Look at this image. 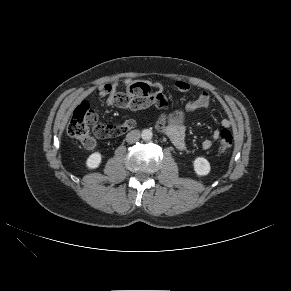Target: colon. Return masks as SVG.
Instances as JSON below:
<instances>
[{"instance_id":"obj_1","label":"colon","mask_w":291,"mask_h":291,"mask_svg":"<svg viewBox=\"0 0 291 291\" xmlns=\"http://www.w3.org/2000/svg\"><path fill=\"white\" fill-rule=\"evenodd\" d=\"M135 125L133 120H127L121 125L107 126L97 123V115L90 108L87 102L80 103L74 110L67 127L68 135L80 141L86 147H92L93 137L97 138L116 137L132 129ZM233 143V137L229 130L224 129L220 132L217 150L222 154L228 151Z\"/></svg>"}]
</instances>
